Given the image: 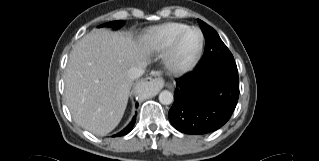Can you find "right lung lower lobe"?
Wrapping results in <instances>:
<instances>
[{
  "instance_id": "obj_1",
  "label": "right lung lower lobe",
  "mask_w": 319,
  "mask_h": 161,
  "mask_svg": "<svg viewBox=\"0 0 319 161\" xmlns=\"http://www.w3.org/2000/svg\"><path fill=\"white\" fill-rule=\"evenodd\" d=\"M135 121H136V119L134 117L133 120L131 121V123L125 129H123L121 132H119L118 134H116L114 136H122V135L128 134L132 130V128L135 124Z\"/></svg>"
}]
</instances>
